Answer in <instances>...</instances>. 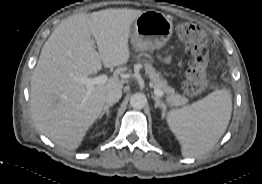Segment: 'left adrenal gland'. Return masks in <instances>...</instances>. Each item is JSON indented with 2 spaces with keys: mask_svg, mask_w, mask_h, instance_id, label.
I'll return each instance as SVG.
<instances>
[{
  "mask_svg": "<svg viewBox=\"0 0 262 184\" xmlns=\"http://www.w3.org/2000/svg\"><path fill=\"white\" fill-rule=\"evenodd\" d=\"M152 98L155 100V109L159 108L162 110V114L164 113L166 106L165 104L160 100L159 97L152 95Z\"/></svg>",
  "mask_w": 262,
  "mask_h": 184,
  "instance_id": "left-adrenal-gland-1",
  "label": "left adrenal gland"
}]
</instances>
